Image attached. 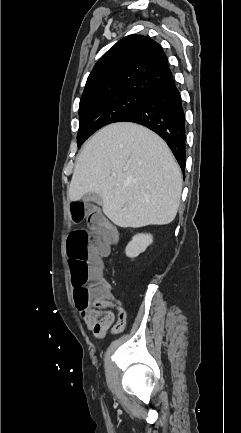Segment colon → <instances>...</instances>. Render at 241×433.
Segmentation results:
<instances>
[{"label": "colon", "mask_w": 241, "mask_h": 433, "mask_svg": "<svg viewBox=\"0 0 241 433\" xmlns=\"http://www.w3.org/2000/svg\"><path fill=\"white\" fill-rule=\"evenodd\" d=\"M101 205L93 200L70 202V220L86 221L93 231L91 239L86 230L80 229L69 236L67 254L70 259L72 286L78 312H87L88 306L105 294L101 280V255L116 241L111 226L101 214Z\"/></svg>", "instance_id": "obj_1"}]
</instances>
